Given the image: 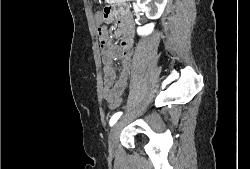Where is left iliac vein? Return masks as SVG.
<instances>
[{
	"instance_id": "obj_1",
	"label": "left iliac vein",
	"mask_w": 250,
	"mask_h": 169,
	"mask_svg": "<svg viewBox=\"0 0 250 169\" xmlns=\"http://www.w3.org/2000/svg\"><path fill=\"white\" fill-rule=\"evenodd\" d=\"M121 129H122V124L120 121H118L114 125V127L112 128L109 134V149L111 151L115 150L117 147Z\"/></svg>"
}]
</instances>
